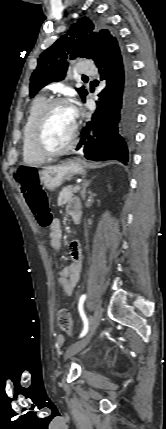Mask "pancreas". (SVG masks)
Masks as SVG:
<instances>
[{
  "label": "pancreas",
  "instance_id": "obj_1",
  "mask_svg": "<svg viewBox=\"0 0 166 429\" xmlns=\"http://www.w3.org/2000/svg\"><path fill=\"white\" fill-rule=\"evenodd\" d=\"M73 196V189L71 186H68L62 190L58 197V206L65 205L68 201L71 200Z\"/></svg>",
  "mask_w": 166,
  "mask_h": 429
}]
</instances>
